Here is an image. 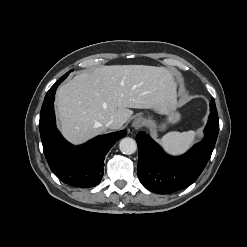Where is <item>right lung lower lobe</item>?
Listing matches in <instances>:
<instances>
[{
	"label": "right lung lower lobe",
	"instance_id": "1",
	"mask_svg": "<svg viewBox=\"0 0 247 247\" xmlns=\"http://www.w3.org/2000/svg\"><path fill=\"white\" fill-rule=\"evenodd\" d=\"M59 84L50 88L40 113L39 128L46 160L64 183L81 188L95 186L103 177L106 154L127 132L121 130L97 136L81 146L68 143L55 124L53 102Z\"/></svg>",
	"mask_w": 247,
	"mask_h": 247
}]
</instances>
